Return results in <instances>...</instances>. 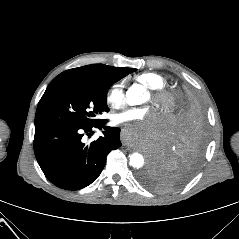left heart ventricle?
Instances as JSON below:
<instances>
[{
    "label": "left heart ventricle",
    "instance_id": "1",
    "mask_svg": "<svg viewBox=\"0 0 239 239\" xmlns=\"http://www.w3.org/2000/svg\"><path fill=\"white\" fill-rule=\"evenodd\" d=\"M147 100H151V96L150 95L147 96Z\"/></svg>",
    "mask_w": 239,
    "mask_h": 239
}]
</instances>
